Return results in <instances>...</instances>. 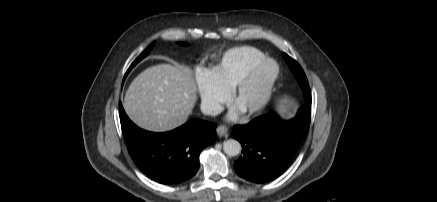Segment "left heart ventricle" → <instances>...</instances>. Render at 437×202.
I'll list each match as a JSON object with an SVG mask.
<instances>
[{
	"label": "left heart ventricle",
	"mask_w": 437,
	"mask_h": 202,
	"mask_svg": "<svg viewBox=\"0 0 437 202\" xmlns=\"http://www.w3.org/2000/svg\"><path fill=\"white\" fill-rule=\"evenodd\" d=\"M273 71L274 67L271 64L260 69L253 82L236 101L235 106L239 111L242 112L258 102Z\"/></svg>",
	"instance_id": "obj_1"
}]
</instances>
